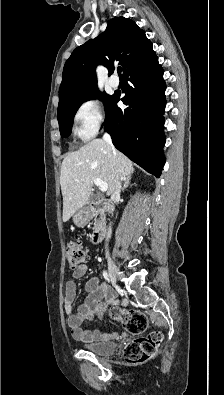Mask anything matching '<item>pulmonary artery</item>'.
Wrapping results in <instances>:
<instances>
[{
  "label": "pulmonary artery",
  "mask_w": 224,
  "mask_h": 395,
  "mask_svg": "<svg viewBox=\"0 0 224 395\" xmlns=\"http://www.w3.org/2000/svg\"><path fill=\"white\" fill-rule=\"evenodd\" d=\"M109 84L112 88H116L119 85V80L117 79V77H113L110 79Z\"/></svg>",
  "instance_id": "e3ab8cb5"
}]
</instances>
